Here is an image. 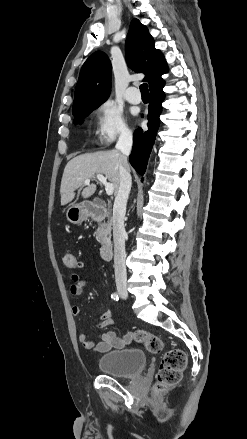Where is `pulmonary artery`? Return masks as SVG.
<instances>
[{
    "label": "pulmonary artery",
    "instance_id": "obj_1",
    "mask_svg": "<svg viewBox=\"0 0 247 439\" xmlns=\"http://www.w3.org/2000/svg\"><path fill=\"white\" fill-rule=\"evenodd\" d=\"M125 99L132 104H139L141 102V96L135 87H129L125 91Z\"/></svg>",
    "mask_w": 247,
    "mask_h": 439
}]
</instances>
